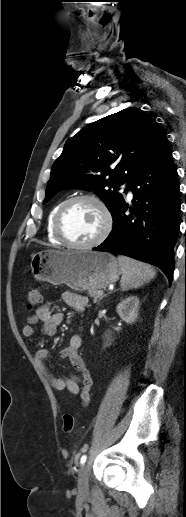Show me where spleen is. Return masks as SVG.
<instances>
[{"instance_id":"3e777b00","label":"spleen","mask_w":186,"mask_h":517,"mask_svg":"<svg viewBox=\"0 0 186 517\" xmlns=\"http://www.w3.org/2000/svg\"><path fill=\"white\" fill-rule=\"evenodd\" d=\"M118 262L122 270L120 284L123 290L141 287L156 275L152 266L132 258L118 256Z\"/></svg>"}]
</instances>
